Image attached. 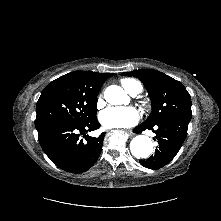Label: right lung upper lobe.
Listing matches in <instances>:
<instances>
[{"instance_id": "cb5924a9", "label": "right lung upper lobe", "mask_w": 221, "mask_h": 221, "mask_svg": "<svg viewBox=\"0 0 221 221\" xmlns=\"http://www.w3.org/2000/svg\"><path fill=\"white\" fill-rule=\"evenodd\" d=\"M113 74H102L90 71H74L64 75L75 81L80 87L87 92L98 94L103 83Z\"/></svg>"}]
</instances>
